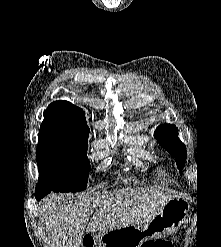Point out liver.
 <instances>
[{
  "label": "liver",
  "instance_id": "1",
  "mask_svg": "<svg viewBox=\"0 0 221 247\" xmlns=\"http://www.w3.org/2000/svg\"><path fill=\"white\" fill-rule=\"evenodd\" d=\"M173 198L148 188H123L85 196L50 194L39 203L38 212L51 234V247H80L85 229L108 232L148 223Z\"/></svg>",
  "mask_w": 221,
  "mask_h": 247
}]
</instances>
